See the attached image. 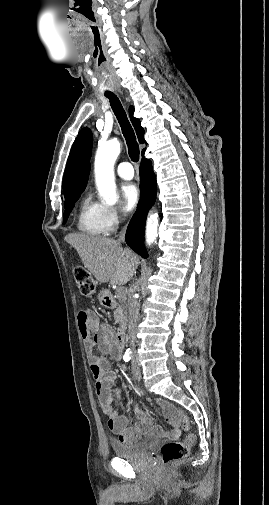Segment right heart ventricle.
I'll return each mask as SVG.
<instances>
[{
  "mask_svg": "<svg viewBox=\"0 0 269 505\" xmlns=\"http://www.w3.org/2000/svg\"><path fill=\"white\" fill-rule=\"evenodd\" d=\"M103 208L104 206L94 201L90 195L84 196L78 210V229L89 235H105L108 230L104 222Z\"/></svg>",
  "mask_w": 269,
  "mask_h": 505,
  "instance_id": "obj_1",
  "label": "right heart ventricle"
}]
</instances>
